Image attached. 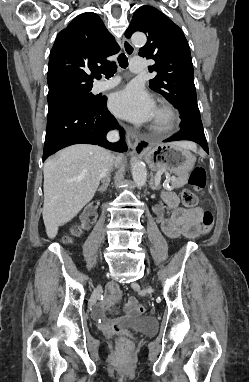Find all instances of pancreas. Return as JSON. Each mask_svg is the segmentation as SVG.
I'll return each mask as SVG.
<instances>
[{
	"mask_svg": "<svg viewBox=\"0 0 249 382\" xmlns=\"http://www.w3.org/2000/svg\"><path fill=\"white\" fill-rule=\"evenodd\" d=\"M187 183V176H179L175 178L174 181L171 182L172 188H180L183 187Z\"/></svg>",
	"mask_w": 249,
	"mask_h": 382,
	"instance_id": "cf45deb5",
	"label": "pancreas"
}]
</instances>
